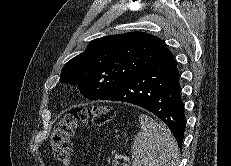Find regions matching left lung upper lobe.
<instances>
[{
    "label": "left lung upper lobe",
    "mask_w": 231,
    "mask_h": 166,
    "mask_svg": "<svg viewBox=\"0 0 231 166\" xmlns=\"http://www.w3.org/2000/svg\"><path fill=\"white\" fill-rule=\"evenodd\" d=\"M167 46L154 35L130 32L92 40L68 61L62 83H77L89 100H98L161 55Z\"/></svg>",
    "instance_id": "obj_1"
}]
</instances>
